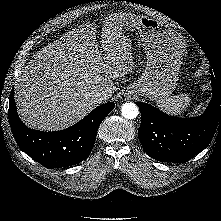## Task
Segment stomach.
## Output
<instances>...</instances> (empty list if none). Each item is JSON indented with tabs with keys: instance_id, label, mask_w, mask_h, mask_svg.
Segmentation results:
<instances>
[{
	"instance_id": "obj_1",
	"label": "stomach",
	"mask_w": 221,
	"mask_h": 221,
	"mask_svg": "<svg viewBox=\"0 0 221 221\" xmlns=\"http://www.w3.org/2000/svg\"><path fill=\"white\" fill-rule=\"evenodd\" d=\"M123 32L138 31L147 64L141 77L127 87L126 95H146L163 100L174 91L185 53V41L168 24L132 13L120 15Z\"/></svg>"
}]
</instances>
